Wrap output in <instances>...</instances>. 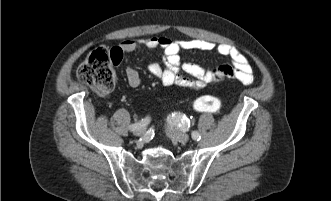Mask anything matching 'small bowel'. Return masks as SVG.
I'll return each mask as SVG.
<instances>
[{
  "label": "small bowel",
  "instance_id": "c3829d8e",
  "mask_svg": "<svg viewBox=\"0 0 331 201\" xmlns=\"http://www.w3.org/2000/svg\"><path fill=\"white\" fill-rule=\"evenodd\" d=\"M142 48L163 50L164 65L153 62L149 65V71L165 86L201 89L226 79H236L245 85H250L254 81L253 70L247 57L232 45H216L201 39L172 40L156 36L127 39L120 44V50L124 53ZM182 51H215L219 55L229 57L232 63L205 69L192 62H183L180 56ZM125 74L131 88L140 86L141 79L136 69L127 66Z\"/></svg>",
  "mask_w": 331,
  "mask_h": 201
}]
</instances>
